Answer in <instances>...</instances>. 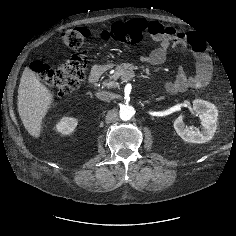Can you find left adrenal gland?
<instances>
[{"label": "left adrenal gland", "mask_w": 236, "mask_h": 236, "mask_svg": "<svg viewBox=\"0 0 236 236\" xmlns=\"http://www.w3.org/2000/svg\"><path fill=\"white\" fill-rule=\"evenodd\" d=\"M164 98H165L164 96L159 97V98H156V101H160V100H162V99H164Z\"/></svg>", "instance_id": "a2214340"}]
</instances>
